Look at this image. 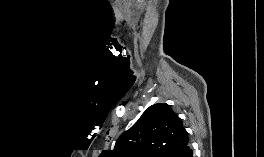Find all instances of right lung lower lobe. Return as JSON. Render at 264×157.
Listing matches in <instances>:
<instances>
[{
    "label": "right lung lower lobe",
    "mask_w": 264,
    "mask_h": 157,
    "mask_svg": "<svg viewBox=\"0 0 264 157\" xmlns=\"http://www.w3.org/2000/svg\"><path fill=\"white\" fill-rule=\"evenodd\" d=\"M175 157H194L193 150L190 148L189 144H187L182 150H180Z\"/></svg>",
    "instance_id": "1"
}]
</instances>
